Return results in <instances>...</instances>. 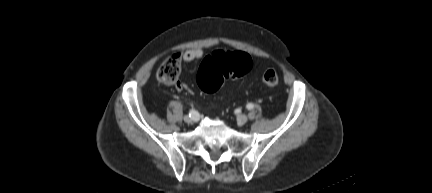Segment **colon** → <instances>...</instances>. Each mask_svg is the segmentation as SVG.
Instances as JSON below:
<instances>
[{
	"mask_svg": "<svg viewBox=\"0 0 432 193\" xmlns=\"http://www.w3.org/2000/svg\"><path fill=\"white\" fill-rule=\"evenodd\" d=\"M253 63L249 55L240 51H216L207 57L197 75V82L206 92H215L223 78H234L246 75L252 69ZM180 58L177 54L166 58L157 71V78L165 84L177 82L180 74ZM262 81L266 86L274 87L279 83V77L274 70H267Z\"/></svg>",
	"mask_w": 432,
	"mask_h": 193,
	"instance_id": "colon-1",
	"label": "colon"
}]
</instances>
